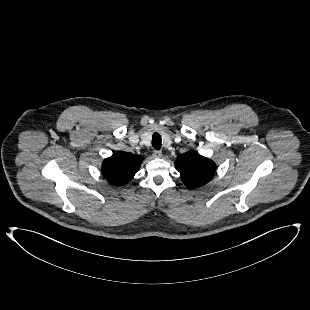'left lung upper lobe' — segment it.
<instances>
[{
    "label": "left lung upper lobe",
    "instance_id": "left-lung-upper-lobe-1",
    "mask_svg": "<svg viewBox=\"0 0 310 310\" xmlns=\"http://www.w3.org/2000/svg\"><path fill=\"white\" fill-rule=\"evenodd\" d=\"M183 183L189 187H200L208 183L216 170L215 163L201 156L197 151H188L180 155L175 162Z\"/></svg>",
    "mask_w": 310,
    "mask_h": 310
}]
</instances>
